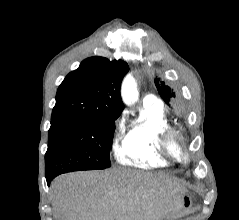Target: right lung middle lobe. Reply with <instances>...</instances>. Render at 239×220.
<instances>
[{
  "mask_svg": "<svg viewBox=\"0 0 239 220\" xmlns=\"http://www.w3.org/2000/svg\"><path fill=\"white\" fill-rule=\"evenodd\" d=\"M117 118H52L45 154L46 177L110 167L109 150L112 147L114 120Z\"/></svg>",
  "mask_w": 239,
  "mask_h": 220,
  "instance_id": "dd1d6c3e",
  "label": "right lung middle lobe"
}]
</instances>
